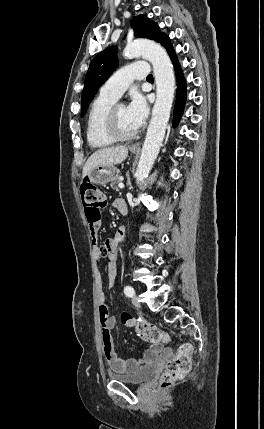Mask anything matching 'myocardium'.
Listing matches in <instances>:
<instances>
[{
	"label": "myocardium",
	"instance_id": "1",
	"mask_svg": "<svg viewBox=\"0 0 264 429\" xmlns=\"http://www.w3.org/2000/svg\"><path fill=\"white\" fill-rule=\"evenodd\" d=\"M120 105L121 104H114L110 108L105 121V130L107 134L116 141L132 140L138 136L140 131L137 129L135 132L127 134L121 130L117 119V109Z\"/></svg>",
	"mask_w": 264,
	"mask_h": 429
}]
</instances>
